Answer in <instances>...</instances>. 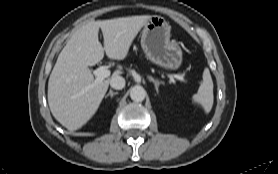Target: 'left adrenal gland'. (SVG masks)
I'll return each instance as SVG.
<instances>
[{"label":"left adrenal gland","instance_id":"a2214340","mask_svg":"<svg viewBox=\"0 0 278 174\" xmlns=\"http://www.w3.org/2000/svg\"><path fill=\"white\" fill-rule=\"evenodd\" d=\"M148 79L154 83L155 85V89H156V92L158 93L159 92V85L160 84H163L162 82L158 81V80H155L152 76H149Z\"/></svg>","mask_w":278,"mask_h":174}]
</instances>
